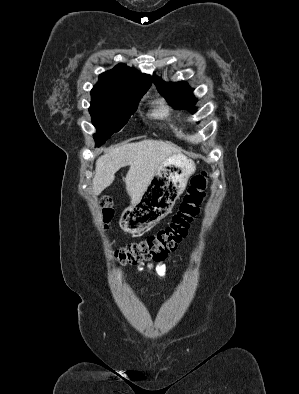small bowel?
I'll return each mask as SVG.
<instances>
[{
    "instance_id": "small-bowel-1",
    "label": "small bowel",
    "mask_w": 299,
    "mask_h": 394,
    "mask_svg": "<svg viewBox=\"0 0 299 394\" xmlns=\"http://www.w3.org/2000/svg\"><path fill=\"white\" fill-rule=\"evenodd\" d=\"M144 269H147L149 271H153L160 277H164L167 272V267L164 262H159L157 264L150 263L146 267H143V266L138 267L139 271H143Z\"/></svg>"
}]
</instances>
